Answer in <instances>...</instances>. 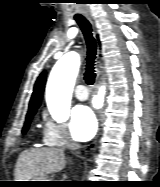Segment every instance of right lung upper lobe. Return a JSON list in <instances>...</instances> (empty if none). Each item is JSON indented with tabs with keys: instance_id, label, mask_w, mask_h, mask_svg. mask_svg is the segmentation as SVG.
Returning a JSON list of instances; mask_svg holds the SVG:
<instances>
[{
	"instance_id": "1",
	"label": "right lung upper lobe",
	"mask_w": 160,
	"mask_h": 187,
	"mask_svg": "<svg viewBox=\"0 0 160 187\" xmlns=\"http://www.w3.org/2000/svg\"><path fill=\"white\" fill-rule=\"evenodd\" d=\"M45 81H46V72L43 71L35 83L34 91L29 103V111L37 110L38 107L40 106Z\"/></svg>"
}]
</instances>
